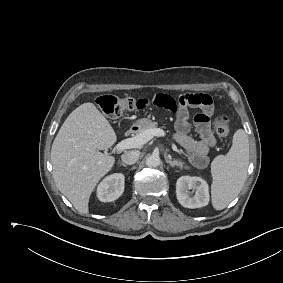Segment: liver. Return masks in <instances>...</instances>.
<instances>
[{
  "mask_svg": "<svg viewBox=\"0 0 283 283\" xmlns=\"http://www.w3.org/2000/svg\"><path fill=\"white\" fill-rule=\"evenodd\" d=\"M116 134L93 103L70 113L51 149L53 178L59 191L82 214L98 182L113 167L115 158L101 153L116 142Z\"/></svg>",
  "mask_w": 283,
  "mask_h": 283,
  "instance_id": "liver-1",
  "label": "liver"
}]
</instances>
